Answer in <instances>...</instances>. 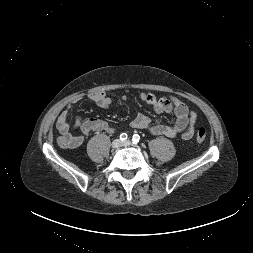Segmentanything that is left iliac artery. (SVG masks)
I'll list each match as a JSON object with an SVG mask.
<instances>
[{
	"mask_svg": "<svg viewBox=\"0 0 253 253\" xmlns=\"http://www.w3.org/2000/svg\"><path fill=\"white\" fill-rule=\"evenodd\" d=\"M140 140V136L138 134H134L132 137V143L137 144Z\"/></svg>",
	"mask_w": 253,
	"mask_h": 253,
	"instance_id": "left-iliac-artery-1",
	"label": "left iliac artery"
}]
</instances>
